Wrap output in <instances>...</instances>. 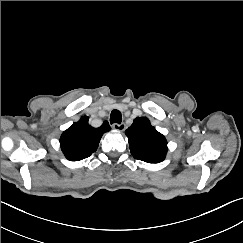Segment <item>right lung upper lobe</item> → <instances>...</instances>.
Returning <instances> with one entry per match:
<instances>
[{
	"label": "right lung upper lobe",
	"mask_w": 243,
	"mask_h": 243,
	"mask_svg": "<svg viewBox=\"0 0 243 243\" xmlns=\"http://www.w3.org/2000/svg\"><path fill=\"white\" fill-rule=\"evenodd\" d=\"M88 120L87 116L81 117L61 135L59 142L62 152L70 161L89 157L98 148L102 135L111 129L106 121L99 128H93Z\"/></svg>",
	"instance_id": "1"
}]
</instances>
